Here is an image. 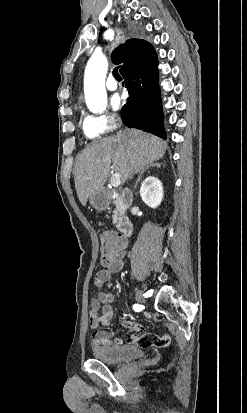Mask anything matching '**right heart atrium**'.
I'll return each instance as SVG.
<instances>
[{
	"instance_id": "1",
	"label": "right heart atrium",
	"mask_w": 247,
	"mask_h": 413,
	"mask_svg": "<svg viewBox=\"0 0 247 413\" xmlns=\"http://www.w3.org/2000/svg\"><path fill=\"white\" fill-rule=\"evenodd\" d=\"M86 126L89 133L110 134L115 129V117L107 118L104 115L94 116L92 110L85 112Z\"/></svg>"
}]
</instances>
